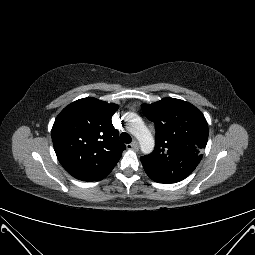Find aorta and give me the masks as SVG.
<instances>
[{
    "mask_svg": "<svg viewBox=\"0 0 255 255\" xmlns=\"http://www.w3.org/2000/svg\"><path fill=\"white\" fill-rule=\"evenodd\" d=\"M124 120L128 125V130L139 141L141 151L144 154L151 153L155 146V140L143 120L135 113H126Z\"/></svg>",
    "mask_w": 255,
    "mask_h": 255,
    "instance_id": "762f6f07",
    "label": "aorta"
}]
</instances>
